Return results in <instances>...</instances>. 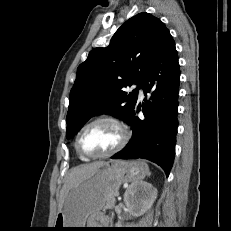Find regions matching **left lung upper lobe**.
Returning <instances> with one entry per match:
<instances>
[{"label":"left lung upper lobe","mask_w":231,"mask_h":231,"mask_svg":"<svg viewBox=\"0 0 231 231\" xmlns=\"http://www.w3.org/2000/svg\"><path fill=\"white\" fill-rule=\"evenodd\" d=\"M168 33L160 19L142 12L116 31L109 46L90 51L87 60L77 69L70 92L67 139L97 114L110 113L127 123L137 102L141 78ZM134 84L135 90L129 94L124 91Z\"/></svg>","instance_id":"obj_1"}]
</instances>
